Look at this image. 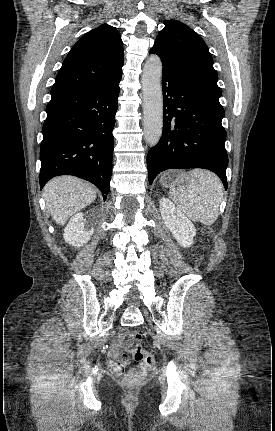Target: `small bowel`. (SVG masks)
I'll list each match as a JSON object with an SVG mask.
<instances>
[{
  "mask_svg": "<svg viewBox=\"0 0 275 431\" xmlns=\"http://www.w3.org/2000/svg\"><path fill=\"white\" fill-rule=\"evenodd\" d=\"M123 343V337L117 336L113 339L110 350L108 352V358L109 363L111 367L116 371L119 363H122L124 366H126L129 362L128 357L126 355L123 356V358L119 361V349ZM126 348L130 349V342L126 341Z\"/></svg>",
  "mask_w": 275,
  "mask_h": 431,
  "instance_id": "small-bowel-1",
  "label": "small bowel"
}]
</instances>
